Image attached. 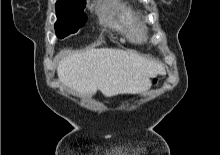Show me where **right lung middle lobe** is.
Returning a JSON list of instances; mask_svg holds the SVG:
<instances>
[{
  "mask_svg": "<svg viewBox=\"0 0 220 155\" xmlns=\"http://www.w3.org/2000/svg\"><path fill=\"white\" fill-rule=\"evenodd\" d=\"M84 3L57 2L55 23L56 34L64 38L78 31L86 23V14L83 10Z\"/></svg>",
  "mask_w": 220,
  "mask_h": 155,
  "instance_id": "1",
  "label": "right lung middle lobe"
}]
</instances>
